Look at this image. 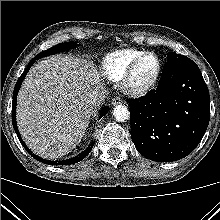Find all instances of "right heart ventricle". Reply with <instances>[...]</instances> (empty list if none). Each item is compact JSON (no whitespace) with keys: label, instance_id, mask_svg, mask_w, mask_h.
Wrapping results in <instances>:
<instances>
[{"label":"right heart ventricle","instance_id":"e07e8e85","mask_svg":"<svg viewBox=\"0 0 220 220\" xmlns=\"http://www.w3.org/2000/svg\"><path fill=\"white\" fill-rule=\"evenodd\" d=\"M145 51L121 49L107 54L101 62V72L110 81H119L132 61Z\"/></svg>","mask_w":220,"mask_h":220}]
</instances>
